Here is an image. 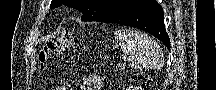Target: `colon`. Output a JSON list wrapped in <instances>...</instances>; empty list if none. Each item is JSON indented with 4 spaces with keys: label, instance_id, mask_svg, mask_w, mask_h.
Returning <instances> with one entry per match:
<instances>
[{
    "label": "colon",
    "instance_id": "1",
    "mask_svg": "<svg viewBox=\"0 0 216 90\" xmlns=\"http://www.w3.org/2000/svg\"><path fill=\"white\" fill-rule=\"evenodd\" d=\"M70 43L71 36L68 32H64L60 34L55 40L48 42L39 53V63L41 70H47L49 57L53 53L65 50L70 45Z\"/></svg>",
    "mask_w": 216,
    "mask_h": 90
}]
</instances>
